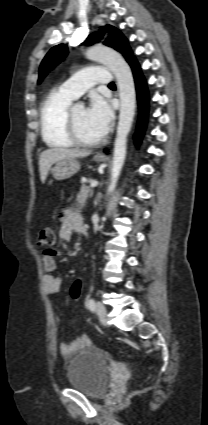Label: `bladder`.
Here are the masks:
<instances>
[{
    "mask_svg": "<svg viewBox=\"0 0 208 425\" xmlns=\"http://www.w3.org/2000/svg\"><path fill=\"white\" fill-rule=\"evenodd\" d=\"M110 356L94 348L80 351L70 360L66 373L68 385L91 397L102 395L109 385Z\"/></svg>",
    "mask_w": 208,
    "mask_h": 425,
    "instance_id": "1",
    "label": "bladder"
}]
</instances>
